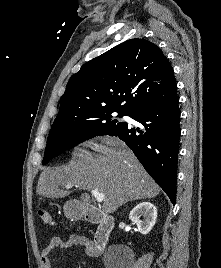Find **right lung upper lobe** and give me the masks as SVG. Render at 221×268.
<instances>
[{"mask_svg": "<svg viewBox=\"0 0 221 268\" xmlns=\"http://www.w3.org/2000/svg\"><path fill=\"white\" fill-rule=\"evenodd\" d=\"M177 96L173 68L155 44L130 39L85 63L67 83L56 118L116 111L127 116Z\"/></svg>", "mask_w": 221, "mask_h": 268, "instance_id": "cb5924a9", "label": "right lung upper lobe"}]
</instances>
